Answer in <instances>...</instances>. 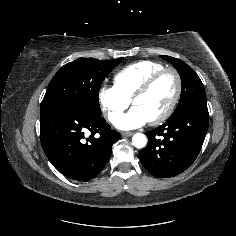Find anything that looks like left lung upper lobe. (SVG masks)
I'll return each mask as SVG.
<instances>
[{"instance_id":"1","label":"left lung upper lobe","mask_w":236,"mask_h":236,"mask_svg":"<svg viewBox=\"0 0 236 236\" xmlns=\"http://www.w3.org/2000/svg\"><path fill=\"white\" fill-rule=\"evenodd\" d=\"M161 58L172 63L181 77L182 90L180 101L171 117L178 115L189 106L206 103L204 86L199 76L186 63L179 59L165 55L161 56Z\"/></svg>"}]
</instances>
